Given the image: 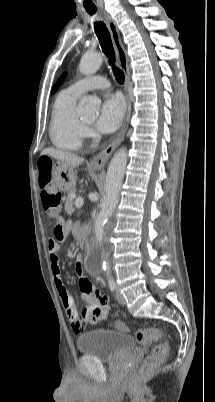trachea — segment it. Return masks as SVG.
Masks as SVG:
<instances>
[{"mask_svg":"<svg viewBox=\"0 0 215 402\" xmlns=\"http://www.w3.org/2000/svg\"><path fill=\"white\" fill-rule=\"evenodd\" d=\"M87 12L93 15L96 12V9H87ZM94 29L104 54L109 58V65L112 66L116 81L120 84H123L124 73L121 69L115 66L114 48L106 25L103 22H97L95 23Z\"/></svg>","mask_w":215,"mask_h":402,"instance_id":"3493384b","label":"trachea"}]
</instances>
